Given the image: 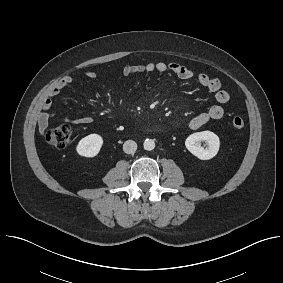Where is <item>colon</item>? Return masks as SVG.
I'll list each match as a JSON object with an SVG mask.
<instances>
[{
    "instance_id": "1",
    "label": "colon",
    "mask_w": 283,
    "mask_h": 283,
    "mask_svg": "<svg viewBox=\"0 0 283 283\" xmlns=\"http://www.w3.org/2000/svg\"><path fill=\"white\" fill-rule=\"evenodd\" d=\"M234 129L240 130L244 127V119L240 116H235L231 121ZM72 135V128L68 124H61L47 131L46 141L54 148L63 149L67 147Z\"/></svg>"
}]
</instances>
